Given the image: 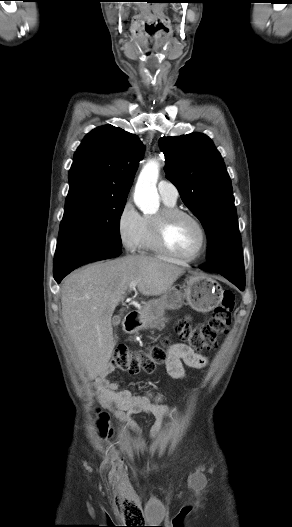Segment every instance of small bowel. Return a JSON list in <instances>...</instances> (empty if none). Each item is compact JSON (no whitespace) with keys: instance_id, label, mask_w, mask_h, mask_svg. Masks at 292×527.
Wrapping results in <instances>:
<instances>
[{"instance_id":"small-bowel-1","label":"small bowel","mask_w":292,"mask_h":527,"mask_svg":"<svg viewBox=\"0 0 292 527\" xmlns=\"http://www.w3.org/2000/svg\"><path fill=\"white\" fill-rule=\"evenodd\" d=\"M207 364V357L197 353L188 345L175 343L168 349L166 368L169 375L174 379L185 378V365L195 369H201L206 367ZM113 371V366H107L99 380V383L107 390V398L104 400L105 405L108 407L114 406L115 416L125 422L136 433H140L141 429L131 418V415L138 413L152 415L155 422L150 431V438H155L161 430L163 419L173 416L175 411L162 403L163 396L161 394H155L150 389L141 395L135 394L132 389L119 390L120 381L109 380Z\"/></svg>"}]
</instances>
